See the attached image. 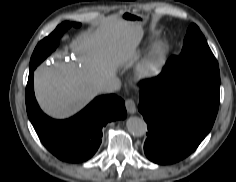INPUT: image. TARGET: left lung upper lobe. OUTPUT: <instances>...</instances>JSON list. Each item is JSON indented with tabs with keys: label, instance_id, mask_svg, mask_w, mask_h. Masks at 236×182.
I'll return each mask as SVG.
<instances>
[{
	"label": "left lung upper lobe",
	"instance_id": "left-lung-upper-lobe-1",
	"mask_svg": "<svg viewBox=\"0 0 236 182\" xmlns=\"http://www.w3.org/2000/svg\"><path fill=\"white\" fill-rule=\"evenodd\" d=\"M167 77L171 80H196L220 85V72L216 58L197 25L187 30L179 56H171L166 63Z\"/></svg>",
	"mask_w": 236,
	"mask_h": 182
}]
</instances>
